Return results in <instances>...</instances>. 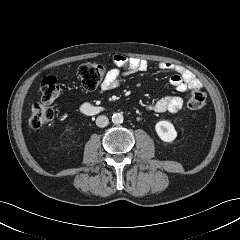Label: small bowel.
I'll return each instance as SVG.
<instances>
[{
	"label": "small bowel",
	"mask_w": 240,
	"mask_h": 240,
	"mask_svg": "<svg viewBox=\"0 0 240 240\" xmlns=\"http://www.w3.org/2000/svg\"><path fill=\"white\" fill-rule=\"evenodd\" d=\"M112 61L115 67L106 73L100 86L101 92H106L116 88L123 76L145 72L149 68V64L146 60L127 57L124 55H114ZM157 68L164 72L173 73L169 81L171 85L180 92L201 87L200 81L190 71L181 66L162 61L157 63ZM182 106L183 99L180 96L169 95L150 102L147 105V108L157 113H174L179 111Z\"/></svg>",
	"instance_id": "obj_1"
}]
</instances>
